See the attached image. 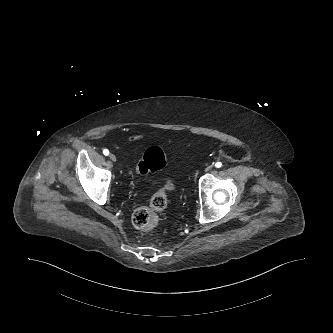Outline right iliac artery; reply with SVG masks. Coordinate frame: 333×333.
<instances>
[{"instance_id": "right-iliac-artery-1", "label": "right iliac artery", "mask_w": 333, "mask_h": 333, "mask_svg": "<svg viewBox=\"0 0 333 333\" xmlns=\"http://www.w3.org/2000/svg\"><path fill=\"white\" fill-rule=\"evenodd\" d=\"M103 154H104L105 156L109 155V150H108V149H104V150H103Z\"/></svg>"}]
</instances>
